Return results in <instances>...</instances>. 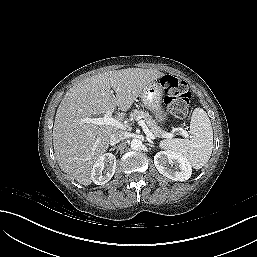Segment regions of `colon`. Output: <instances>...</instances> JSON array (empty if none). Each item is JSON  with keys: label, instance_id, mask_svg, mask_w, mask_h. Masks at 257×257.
Wrapping results in <instances>:
<instances>
[{"label": "colon", "instance_id": "5ec220e1", "mask_svg": "<svg viewBox=\"0 0 257 257\" xmlns=\"http://www.w3.org/2000/svg\"><path fill=\"white\" fill-rule=\"evenodd\" d=\"M160 86L164 91V101L171 113L177 118H185L191 98L185 82L172 75L166 74L160 80Z\"/></svg>", "mask_w": 257, "mask_h": 257}]
</instances>
